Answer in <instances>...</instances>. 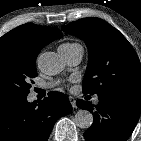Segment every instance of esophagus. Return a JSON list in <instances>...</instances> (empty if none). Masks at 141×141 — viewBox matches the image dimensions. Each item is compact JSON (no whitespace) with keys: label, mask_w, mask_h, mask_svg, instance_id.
I'll use <instances>...</instances> for the list:
<instances>
[{"label":"esophagus","mask_w":141,"mask_h":141,"mask_svg":"<svg viewBox=\"0 0 141 141\" xmlns=\"http://www.w3.org/2000/svg\"><path fill=\"white\" fill-rule=\"evenodd\" d=\"M69 101H70V103H71V105H72V107L73 108H76L77 107V105H76V100H75V98L74 97H69Z\"/></svg>","instance_id":"1"}]
</instances>
